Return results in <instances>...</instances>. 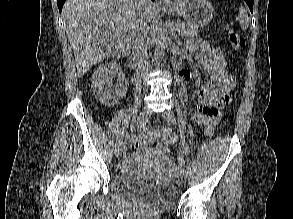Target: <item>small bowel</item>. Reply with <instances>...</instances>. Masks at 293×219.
Returning <instances> with one entry per match:
<instances>
[{
    "label": "small bowel",
    "instance_id": "1",
    "mask_svg": "<svg viewBox=\"0 0 293 219\" xmlns=\"http://www.w3.org/2000/svg\"><path fill=\"white\" fill-rule=\"evenodd\" d=\"M188 49L195 54L197 60L204 66L210 76V81L198 82L199 90L194 97L197 112L191 119L198 125L215 127L221 119L220 109L230 102L231 92L237 84L236 79L223 66L211 59L210 49L205 42H190ZM192 79L193 75L188 70H181L178 74L180 84H185ZM163 130L169 129L148 133L140 139L130 136L128 142L135 152H140L147 144L158 138Z\"/></svg>",
    "mask_w": 293,
    "mask_h": 219
}]
</instances>
